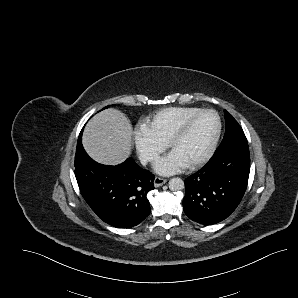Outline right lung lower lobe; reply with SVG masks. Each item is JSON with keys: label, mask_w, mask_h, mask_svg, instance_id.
Instances as JSON below:
<instances>
[{"label": "right lung lower lobe", "mask_w": 298, "mask_h": 298, "mask_svg": "<svg viewBox=\"0 0 298 298\" xmlns=\"http://www.w3.org/2000/svg\"><path fill=\"white\" fill-rule=\"evenodd\" d=\"M78 138L75 176L81 194L91 209L106 223L130 228L150 214L147 195L154 189L155 176L132 158L116 166L92 160Z\"/></svg>", "instance_id": "right-lung-lower-lobe-1"}]
</instances>
